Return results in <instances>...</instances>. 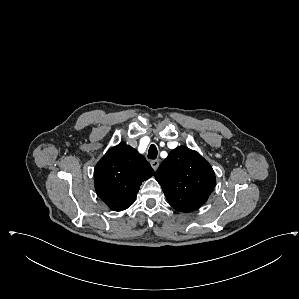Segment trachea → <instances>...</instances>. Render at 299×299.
<instances>
[{
  "instance_id": "trachea-1",
  "label": "trachea",
  "mask_w": 299,
  "mask_h": 299,
  "mask_svg": "<svg viewBox=\"0 0 299 299\" xmlns=\"http://www.w3.org/2000/svg\"><path fill=\"white\" fill-rule=\"evenodd\" d=\"M157 154H158L157 148H156V146L154 144H152L149 147V150H148V158L149 159H156L157 158Z\"/></svg>"
}]
</instances>
